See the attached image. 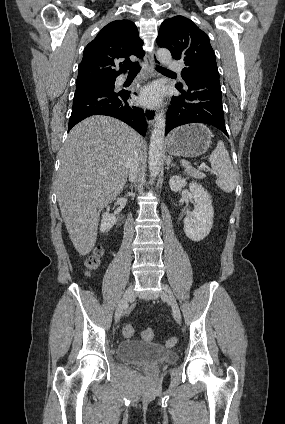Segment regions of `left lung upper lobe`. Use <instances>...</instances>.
<instances>
[{"label":"left lung upper lobe","instance_id":"obj_1","mask_svg":"<svg viewBox=\"0 0 285 424\" xmlns=\"http://www.w3.org/2000/svg\"><path fill=\"white\" fill-rule=\"evenodd\" d=\"M157 44L169 49L174 59L184 60L186 67L181 76L185 82L203 74L219 77L208 36L190 19L183 16L166 19L159 29Z\"/></svg>","mask_w":285,"mask_h":424}]
</instances>
